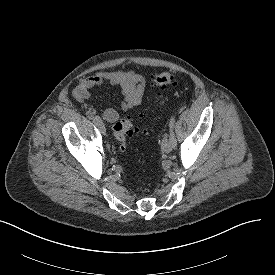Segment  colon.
Segmentation results:
<instances>
[{
    "label": "colon",
    "mask_w": 275,
    "mask_h": 275,
    "mask_svg": "<svg viewBox=\"0 0 275 275\" xmlns=\"http://www.w3.org/2000/svg\"><path fill=\"white\" fill-rule=\"evenodd\" d=\"M151 86L156 89H165L176 85V79L170 72H158L151 76ZM140 130L133 124L130 117H123L113 126V134L119 144V150L125 152L127 150L126 139L132 134L139 133Z\"/></svg>",
    "instance_id": "1"
}]
</instances>
